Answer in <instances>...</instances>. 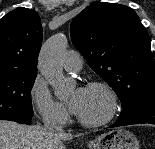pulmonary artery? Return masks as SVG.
<instances>
[{"instance_id": "1", "label": "pulmonary artery", "mask_w": 155, "mask_h": 149, "mask_svg": "<svg viewBox=\"0 0 155 149\" xmlns=\"http://www.w3.org/2000/svg\"><path fill=\"white\" fill-rule=\"evenodd\" d=\"M63 67L68 72H77L82 67V57L77 51L66 52L63 58Z\"/></svg>"}]
</instances>
